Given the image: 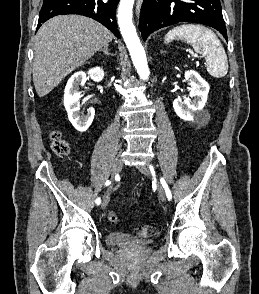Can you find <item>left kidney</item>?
<instances>
[{
	"mask_svg": "<svg viewBox=\"0 0 259 294\" xmlns=\"http://www.w3.org/2000/svg\"><path fill=\"white\" fill-rule=\"evenodd\" d=\"M185 79L189 81L190 97L182 101L181 98H176L173 101L175 113L185 121H195L202 116L207 96L209 93V84L195 71L190 70L185 72Z\"/></svg>",
	"mask_w": 259,
	"mask_h": 294,
	"instance_id": "obj_1",
	"label": "left kidney"
}]
</instances>
